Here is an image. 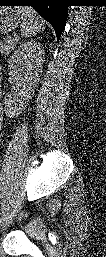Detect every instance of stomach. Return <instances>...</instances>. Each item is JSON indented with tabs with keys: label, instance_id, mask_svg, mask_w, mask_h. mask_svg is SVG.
I'll return each instance as SVG.
<instances>
[{
	"label": "stomach",
	"instance_id": "1",
	"mask_svg": "<svg viewBox=\"0 0 106 257\" xmlns=\"http://www.w3.org/2000/svg\"><path fill=\"white\" fill-rule=\"evenodd\" d=\"M21 18L16 7H0V33L6 34L14 30Z\"/></svg>",
	"mask_w": 106,
	"mask_h": 257
}]
</instances>
